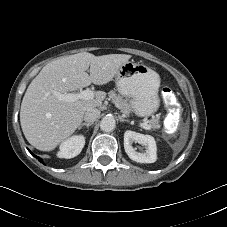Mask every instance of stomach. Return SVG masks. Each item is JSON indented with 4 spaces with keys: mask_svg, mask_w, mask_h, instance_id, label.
Wrapping results in <instances>:
<instances>
[{
    "mask_svg": "<svg viewBox=\"0 0 227 227\" xmlns=\"http://www.w3.org/2000/svg\"><path fill=\"white\" fill-rule=\"evenodd\" d=\"M120 94L131 98L132 111L139 117L154 114L160 106V76L143 63L127 61L115 75Z\"/></svg>",
    "mask_w": 227,
    "mask_h": 227,
    "instance_id": "obj_1",
    "label": "stomach"
}]
</instances>
